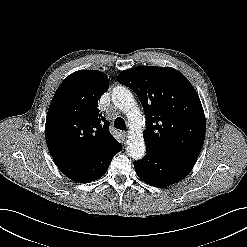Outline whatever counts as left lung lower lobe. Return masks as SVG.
Returning <instances> with one entry per match:
<instances>
[{"label":"left lung lower lobe","mask_w":247,"mask_h":247,"mask_svg":"<svg viewBox=\"0 0 247 247\" xmlns=\"http://www.w3.org/2000/svg\"><path fill=\"white\" fill-rule=\"evenodd\" d=\"M196 159L172 156L146 148L143 159L134 161L138 177L144 182L163 187L183 179L192 170Z\"/></svg>","instance_id":"left-lung-lower-lobe-1"}]
</instances>
